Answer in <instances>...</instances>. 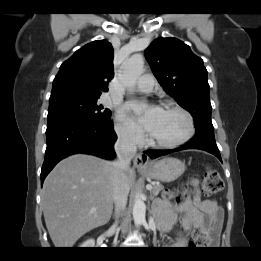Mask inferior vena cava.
I'll return each mask as SVG.
<instances>
[{
  "label": "inferior vena cava",
  "mask_w": 261,
  "mask_h": 261,
  "mask_svg": "<svg viewBox=\"0 0 261 261\" xmlns=\"http://www.w3.org/2000/svg\"><path fill=\"white\" fill-rule=\"evenodd\" d=\"M116 160L113 161V200L117 217L127 204L129 186L126 182L125 172L130 167L131 159L136 155V139L134 134L123 132L118 135L114 145Z\"/></svg>",
  "instance_id": "obj_1"
}]
</instances>
